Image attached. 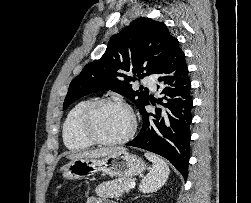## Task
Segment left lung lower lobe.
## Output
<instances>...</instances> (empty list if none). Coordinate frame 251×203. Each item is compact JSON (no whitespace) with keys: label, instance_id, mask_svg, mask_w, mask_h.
Instances as JSON below:
<instances>
[{"label":"left lung lower lobe","instance_id":"left-lung-lower-lobe-1","mask_svg":"<svg viewBox=\"0 0 251 203\" xmlns=\"http://www.w3.org/2000/svg\"><path fill=\"white\" fill-rule=\"evenodd\" d=\"M154 74L161 82V94L164 95L156 102L163 107L155 108L154 113H148L145 106L140 110L143 119L142 129L126 145L165 157L186 178L190 157L193 101L190 95L191 82L185 55L177 39ZM157 88L160 86L158 85ZM150 101L154 103L151 98Z\"/></svg>","mask_w":251,"mask_h":203}]
</instances>
